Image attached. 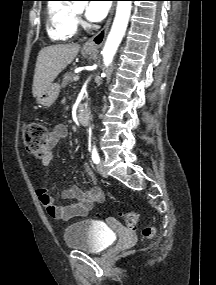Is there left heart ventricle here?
Wrapping results in <instances>:
<instances>
[{
    "label": "left heart ventricle",
    "instance_id": "left-heart-ventricle-1",
    "mask_svg": "<svg viewBox=\"0 0 216 285\" xmlns=\"http://www.w3.org/2000/svg\"><path fill=\"white\" fill-rule=\"evenodd\" d=\"M82 8H83V7H82L81 5H79V6L76 7V9L79 10V11H81Z\"/></svg>",
    "mask_w": 216,
    "mask_h": 285
}]
</instances>
